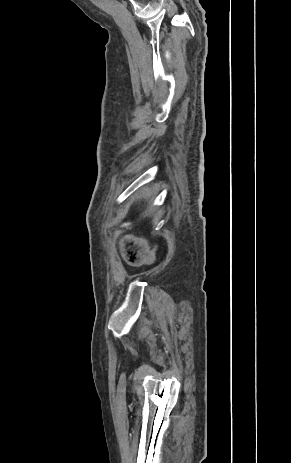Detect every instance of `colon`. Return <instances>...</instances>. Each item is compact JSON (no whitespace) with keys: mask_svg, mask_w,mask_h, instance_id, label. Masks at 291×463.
Segmentation results:
<instances>
[{"mask_svg":"<svg viewBox=\"0 0 291 463\" xmlns=\"http://www.w3.org/2000/svg\"><path fill=\"white\" fill-rule=\"evenodd\" d=\"M125 257L132 265H137L143 262V246L133 237H128L124 241Z\"/></svg>","mask_w":291,"mask_h":463,"instance_id":"5ec220e1","label":"colon"}]
</instances>
